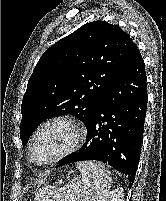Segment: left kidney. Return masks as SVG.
Listing matches in <instances>:
<instances>
[{"label": "left kidney", "mask_w": 166, "mask_h": 201, "mask_svg": "<svg viewBox=\"0 0 166 201\" xmlns=\"http://www.w3.org/2000/svg\"><path fill=\"white\" fill-rule=\"evenodd\" d=\"M124 191L123 188H117L108 194H106L101 201H124Z\"/></svg>", "instance_id": "left-kidney-1"}]
</instances>
